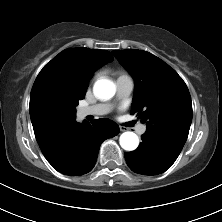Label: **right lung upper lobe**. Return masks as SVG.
<instances>
[{
  "instance_id": "1",
  "label": "right lung upper lobe",
  "mask_w": 222,
  "mask_h": 222,
  "mask_svg": "<svg viewBox=\"0 0 222 222\" xmlns=\"http://www.w3.org/2000/svg\"><path fill=\"white\" fill-rule=\"evenodd\" d=\"M112 60L106 50L70 48L43 67L30 95V117L40 148L61 127L76 122L74 102L84 98L93 72Z\"/></svg>"
}]
</instances>
